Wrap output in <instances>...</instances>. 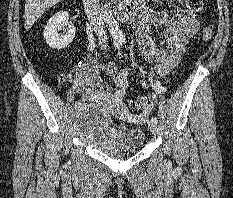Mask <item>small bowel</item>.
Listing matches in <instances>:
<instances>
[{
	"mask_svg": "<svg viewBox=\"0 0 233 198\" xmlns=\"http://www.w3.org/2000/svg\"><path fill=\"white\" fill-rule=\"evenodd\" d=\"M176 4L174 13L167 10H153L140 5L135 13L134 30L136 41L143 58L155 65L156 74L165 76L179 64L189 39L197 32L199 22L197 13L188 8L187 0H170ZM153 26L165 27L167 47L159 48L151 37ZM108 79L103 81L98 76L99 63L91 58L84 64V82L79 86L83 98L90 102L100 103L117 115L133 122L141 117L129 113L124 98L129 87L130 69H118L113 62L101 65ZM111 83L115 89L111 88Z\"/></svg>",
	"mask_w": 233,
	"mask_h": 198,
	"instance_id": "1",
	"label": "small bowel"
}]
</instances>
